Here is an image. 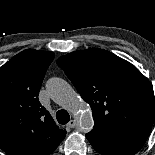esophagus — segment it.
Returning <instances> with one entry per match:
<instances>
[{
  "mask_svg": "<svg viewBox=\"0 0 155 155\" xmlns=\"http://www.w3.org/2000/svg\"><path fill=\"white\" fill-rule=\"evenodd\" d=\"M78 124L77 120H71L67 123V127L74 128Z\"/></svg>",
  "mask_w": 155,
  "mask_h": 155,
  "instance_id": "esophagus-1",
  "label": "esophagus"
}]
</instances>
